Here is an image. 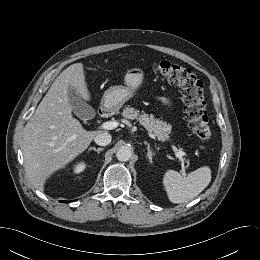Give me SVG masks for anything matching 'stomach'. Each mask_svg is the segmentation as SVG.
<instances>
[{
  "mask_svg": "<svg viewBox=\"0 0 260 260\" xmlns=\"http://www.w3.org/2000/svg\"><path fill=\"white\" fill-rule=\"evenodd\" d=\"M144 72L140 68L127 70L124 76L126 86H113L105 91L102 102L106 108L119 109L125 102L131 99L141 86Z\"/></svg>",
  "mask_w": 260,
  "mask_h": 260,
  "instance_id": "0dacf381",
  "label": "stomach"
}]
</instances>
